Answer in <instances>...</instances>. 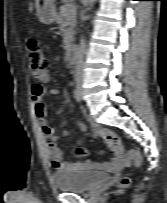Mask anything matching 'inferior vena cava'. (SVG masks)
<instances>
[{
  "mask_svg": "<svg viewBox=\"0 0 167 203\" xmlns=\"http://www.w3.org/2000/svg\"><path fill=\"white\" fill-rule=\"evenodd\" d=\"M86 53V45L84 39L80 40V44L76 50V75L79 79L83 77L84 55Z\"/></svg>",
  "mask_w": 167,
  "mask_h": 203,
  "instance_id": "1",
  "label": "inferior vena cava"
}]
</instances>
